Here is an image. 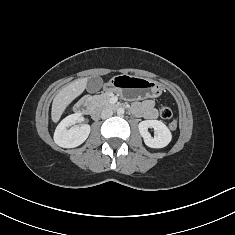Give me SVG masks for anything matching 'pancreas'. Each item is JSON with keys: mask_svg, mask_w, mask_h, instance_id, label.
I'll use <instances>...</instances> for the list:
<instances>
[{"mask_svg": "<svg viewBox=\"0 0 235 235\" xmlns=\"http://www.w3.org/2000/svg\"><path fill=\"white\" fill-rule=\"evenodd\" d=\"M110 93H104L101 95H95L92 97V103L96 106L99 107H106V106H110Z\"/></svg>", "mask_w": 235, "mask_h": 235, "instance_id": "1", "label": "pancreas"}]
</instances>
